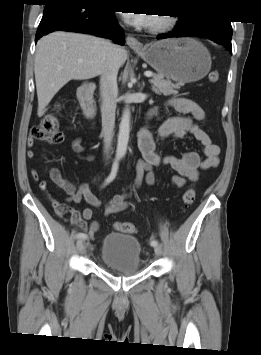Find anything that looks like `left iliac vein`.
I'll return each instance as SVG.
<instances>
[{
    "instance_id": "left-iliac-vein-1",
    "label": "left iliac vein",
    "mask_w": 261,
    "mask_h": 355,
    "mask_svg": "<svg viewBox=\"0 0 261 355\" xmlns=\"http://www.w3.org/2000/svg\"><path fill=\"white\" fill-rule=\"evenodd\" d=\"M154 252L157 256H160L162 254V249L159 245L154 246Z\"/></svg>"
}]
</instances>
